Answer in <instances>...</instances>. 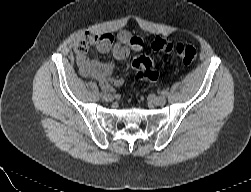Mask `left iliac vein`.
Returning a JSON list of instances; mask_svg holds the SVG:
<instances>
[{"label": "left iliac vein", "instance_id": "left-iliac-vein-1", "mask_svg": "<svg viewBox=\"0 0 251 192\" xmlns=\"http://www.w3.org/2000/svg\"><path fill=\"white\" fill-rule=\"evenodd\" d=\"M153 103L156 106H163L166 103V97L165 96H157L153 99Z\"/></svg>", "mask_w": 251, "mask_h": 192}]
</instances>
